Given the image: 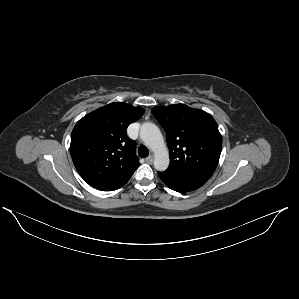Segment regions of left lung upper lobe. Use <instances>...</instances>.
<instances>
[{
  "instance_id": "obj_1",
  "label": "left lung upper lobe",
  "mask_w": 299,
  "mask_h": 299,
  "mask_svg": "<svg viewBox=\"0 0 299 299\" xmlns=\"http://www.w3.org/2000/svg\"><path fill=\"white\" fill-rule=\"evenodd\" d=\"M152 113L167 134L170 165L164 173L209 179L222 150V137L214 118L184 104L155 107Z\"/></svg>"
}]
</instances>
